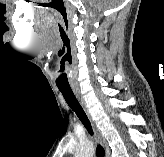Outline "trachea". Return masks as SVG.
I'll return each mask as SVG.
<instances>
[{
  "label": "trachea",
  "instance_id": "3493384b",
  "mask_svg": "<svg viewBox=\"0 0 164 157\" xmlns=\"http://www.w3.org/2000/svg\"><path fill=\"white\" fill-rule=\"evenodd\" d=\"M59 90L62 93L67 104L76 113L77 117L80 119V121L85 126L87 131L91 135H93L91 123H90L86 113L84 112L83 108L81 107L78 100L76 99L73 91L71 89H59ZM96 155H97V157H104L105 156V150L100 144L97 145Z\"/></svg>",
  "mask_w": 164,
  "mask_h": 157
}]
</instances>
